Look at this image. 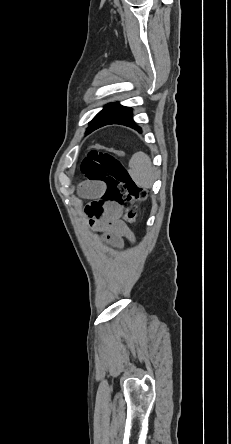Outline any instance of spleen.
<instances>
[{
    "instance_id": "1",
    "label": "spleen",
    "mask_w": 231,
    "mask_h": 444,
    "mask_svg": "<svg viewBox=\"0 0 231 444\" xmlns=\"http://www.w3.org/2000/svg\"><path fill=\"white\" fill-rule=\"evenodd\" d=\"M129 174L133 181L145 188H151L155 180V170L151 160L144 152L135 153L129 161Z\"/></svg>"
}]
</instances>
